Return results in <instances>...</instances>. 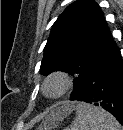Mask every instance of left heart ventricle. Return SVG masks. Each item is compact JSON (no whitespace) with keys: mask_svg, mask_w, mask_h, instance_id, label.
Listing matches in <instances>:
<instances>
[{"mask_svg":"<svg viewBox=\"0 0 123 130\" xmlns=\"http://www.w3.org/2000/svg\"><path fill=\"white\" fill-rule=\"evenodd\" d=\"M55 88H56V85H55V84H53V85L50 86V89H51V90H54Z\"/></svg>","mask_w":123,"mask_h":130,"instance_id":"b2bd125f","label":"left heart ventricle"}]
</instances>
